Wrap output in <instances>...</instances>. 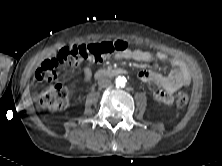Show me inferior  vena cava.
<instances>
[{
  "instance_id": "602c4592",
  "label": "inferior vena cava",
  "mask_w": 222,
  "mask_h": 166,
  "mask_svg": "<svg viewBox=\"0 0 222 166\" xmlns=\"http://www.w3.org/2000/svg\"><path fill=\"white\" fill-rule=\"evenodd\" d=\"M111 80L106 78V77H103V78H100L98 80V85L101 87V88H107V87H110L111 86Z\"/></svg>"
}]
</instances>
